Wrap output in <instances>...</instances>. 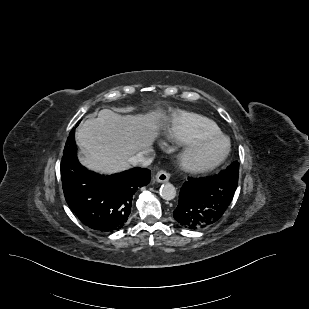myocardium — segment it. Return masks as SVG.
Masks as SVG:
<instances>
[{
    "label": "myocardium",
    "mask_w": 309,
    "mask_h": 309,
    "mask_svg": "<svg viewBox=\"0 0 309 309\" xmlns=\"http://www.w3.org/2000/svg\"><path fill=\"white\" fill-rule=\"evenodd\" d=\"M222 142L224 148L217 156L211 159H202V150L210 143ZM231 150L229 140L222 134H209L198 136L186 142L178 154L182 168L191 173H206L221 165Z\"/></svg>",
    "instance_id": "1"
}]
</instances>
